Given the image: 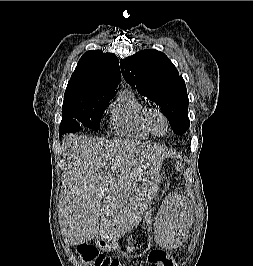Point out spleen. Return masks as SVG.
Wrapping results in <instances>:
<instances>
[{
  "label": "spleen",
  "instance_id": "3e777b00",
  "mask_svg": "<svg viewBox=\"0 0 253 266\" xmlns=\"http://www.w3.org/2000/svg\"><path fill=\"white\" fill-rule=\"evenodd\" d=\"M189 207H160L154 216V235L158 246H185L190 222Z\"/></svg>",
  "mask_w": 253,
  "mask_h": 266
}]
</instances>
